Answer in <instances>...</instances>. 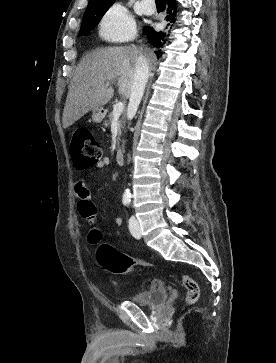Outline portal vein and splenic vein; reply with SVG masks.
Listing matches in <instances>:
<instances>
[{
    "label": "portal vein and splenic vein",
    "instance_id": "1",
    "mask_svg": "<svg viewBox=\"0 0 276 363\" xmlns=\"http://www.w3.org/2000/svg\"><path fill=\"white\" fill-rule=\"evenodd\" d=\"M106 86H109V83H106ZM123 110H124V104L122 102L117 103L113 109L114 119L119 118L123 113Z\"/></svg>",
    "mask_w": 276,
    "mask_h": 363
}]
</instances>
